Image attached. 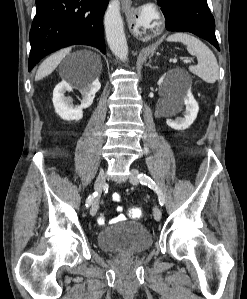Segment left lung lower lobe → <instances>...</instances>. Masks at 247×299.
<instances>
[{"label": "left lung lower lobe", "mask_w": 247, "mask_h": 299, "mask_svg": "<svg viewBox=\"0 0 247 299\" xmlns=\"http://www.w3.org/2000/svg\"><path fill=\"white\" fill-rule=\"evenodd\" d=\"M166 18L169 31L191 32L214 45L218 50L215 36V21L207 0H157Z\"/></svg>", "instance_id": "obj_1"}]
</instances>
